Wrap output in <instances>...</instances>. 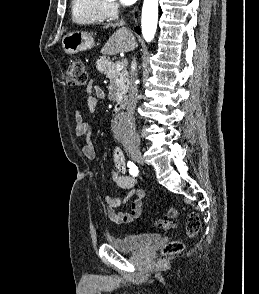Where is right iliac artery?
I'll list each match as a JSON object with an SVG mask.
<instances>
[{
    "instance_id": "obj_1",
    "label": "right iliac artery",
    "mask_w": 259,
    "mask_h": 294,
    "mask_svg": "<svg viewBox=\"0 0 259 294\" xmlns=\"http://www.w3.org/2000/svg\"><path fill=\"white\" fill-rule=\"evenodd\" d=\"M127 166L129 168V173L133 176H138L139 170L138 167L131 161L127 163Z\"/></svg>"
}]
</instances>
